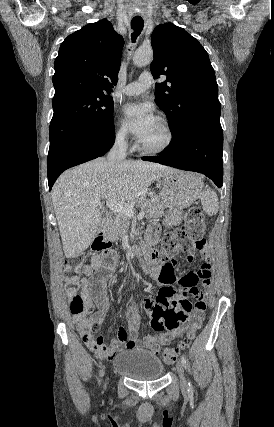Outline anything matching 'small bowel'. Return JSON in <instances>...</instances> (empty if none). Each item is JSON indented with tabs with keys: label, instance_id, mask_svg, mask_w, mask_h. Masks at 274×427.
<instances>
[{
	"label": "small bowel",
	"instance_id": "obj_1",
	"mask_svg": "<svg viewBox=\"0 0 274 427\" xmlns=\"http://www.w3.org/2000/svg\"><path fill=\"white\" fill-rule=\"evenodd\" d=\"M159 227L157 224H151L147 230V238L150 243H154L158 237ZM104 249V248H102ZM194 251L201 256L207 255V250L202 245L194 246ZM187 262L189 265H196L198 259L193 255V250H188ZM119 261L118 252L115 249L103 250L95 253L88 264L83 268V277L81 279V298L84 303V310L80 314H73L72 320L77 326V330L83 341L90 350L100 359L111 360L115 355L123 350L134 349H152L153 345L167 344L176 336H182L183 328L181 320H188L189 311L197 312L198 306L206 308L205 298L210 287V264H201L200 270H193L192 275H187L186 271L179 272L175 264H166L161 271L164 263L159 260L154 261L149 266H143L148 274L159 281L162 289H156V299H139V308L147 309V319L150 320V326L154 327L156 332H166L158 335L148 334L142 339L138 338L141 317L135 307L128 311V326L120 327L117 337L110 343H105L102 336H95L92 333L94 323H102L108 317L111 309V300L106 291V283L112 275ZM161 272V273H160ZM206 273L208 277L202 275ZM160 274L162 277H160ZM198 284H202L204 292H198ZM184 294H196L197 301H180V296ZM97 306L94 312L93 307ZM189 328L187 327L188 331Z\"/></svg>",
	"mask_w": 274,
	"mask_h": 427
}]
</instances>
